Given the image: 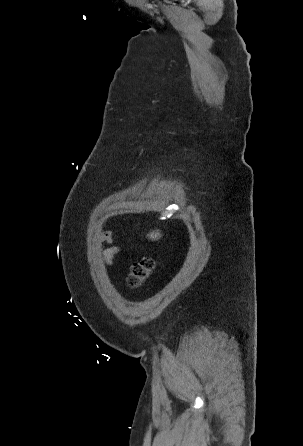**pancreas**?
Wrapping results in <instances>:
<instances>
[{"label": "pancreas", "mask_w": 303, "mask_h": 446, "mask_svg": "<svg viewBox=\"0 0 303 446\" xmlns=\"http://www.w3.org/2000/svg\"><path fill=\"white\" fill-rule=\"evenodd\" d=\"M141 8H142V9H145L144 6H142V5H141Z\"/></svg>", "instance_id": "1"}]
</instances>
